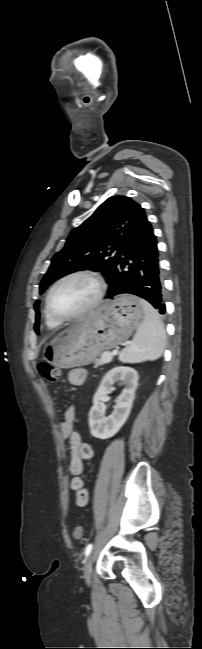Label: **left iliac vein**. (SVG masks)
<instances>
[{
  "mask_svg": "<svg viewBox=\"0 0 202 649\" xmlns=\"http://www.w3.org/2000/svg\"><path fill=\"white\" fill-rule=\"evenodd\" d=\"M93 558H94V554L92 552L87 557L84 565V579L88 584L91 582V578H92Z\"/></svg>",
  "mask_w": 202,
  "mask_h": 649,
  "instance_id": "1",
  "label": "left iliac vein"
}]
</instances>
